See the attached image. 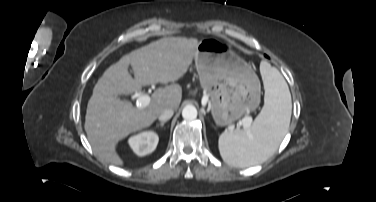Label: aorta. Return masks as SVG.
<instances>
[{
	"label": "aorta",
	"instance_id": "obj_1",
	"mask_svg": "<svg viewBox=\"0 0 376 202\" xmlns=\"http://www.w3.org/2000/svg\"><path fill=\"white\" fill-rule=\"evenodd\" d=\"M182 117L185 120H195L197 118V109L193 105H186L182 110Z\"/></svg>",
	"mask_w": 376,
	"mask_h": 202
}]
</instances>
